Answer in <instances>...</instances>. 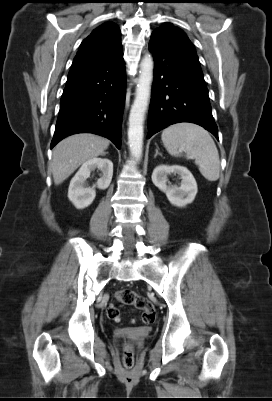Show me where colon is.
Masks as SVG:
<instances>
[{"label": "colon", "mask_w": 272, "mask_h": 401, "mask_svg": "<svg viewBox=\"0 0 272 401\" xmlns=\"http://www.w3.org/2000/svg\"><path fill=\"white\" fill-rule=\"evenodd\" d=\"M116 299L124 305H132L142 311V322L152 324L156 319V312L152 303L144 296L137 294L131 289H121L116 293ZM109 318L120 320V310L115 306L107 309ZM122 363L125 369L130 370L134 365V348L130 343H124L122 351Z\"/></svg>", "instance_id": "1"}]
</instances>
